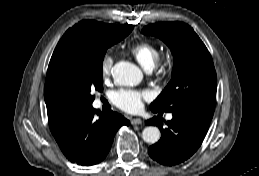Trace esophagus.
<instances>
[{"mask_svg": "<svg viewBox=\"0 0 259 176\" xmlns=\"http://www.w3.org/2000/svg\"><path fill=\"white\" fill-rule=\"evenodd\" d=\"M131 124L132 125H140V124H142V120L140 118H133L131 120Z\"/></svg>", "mask_w": 259, "mask_h": 176, "instance_id": "esophagus-1", "label": "esophagus"}]
</instances>
